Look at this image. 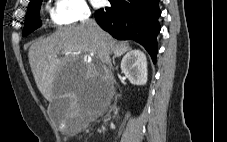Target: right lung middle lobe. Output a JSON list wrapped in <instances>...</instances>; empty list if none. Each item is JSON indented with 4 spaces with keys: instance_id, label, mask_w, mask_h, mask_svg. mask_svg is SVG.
<instances>
[{
    "instance_id": "right-lung-middle-lobe-1",
    "label": "right lung middle lobe",
    "mask_w": 227,
    "mask_h": 142,
    "mask_svg": "<svg viewBox=\"0 0 227 142\" xmlns=\"http://www.w3.org/2000/svg\"><path fill=\"white\" fill-rule=\"evenodd\" d=\"M41 3L42 0H35L29 3L22 36L30 34L35 29L41 26V20L39 18V10Z\"/></svg>"
}]
</instances>
